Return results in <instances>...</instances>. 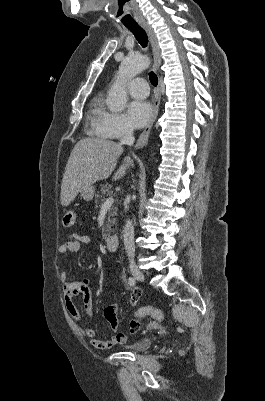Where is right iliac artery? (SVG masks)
Instances as JSON below:
<instances>
[{"label":"right iliac artery","mask_w":265,"mask_h":401,"mask_svg":"<svg viewBox=\"0 0 265 401\" xmlns=\"http://www.w3.org/2000/svg\"><path fill=\"white\" fill-rule=\"evenodd\" d=\"M135 279L133 278V277H129V279H128V284L130 285V286H132V287H134L135 286Z\"/></svg>","instance_id":"82829eb1"}]
</instances>
